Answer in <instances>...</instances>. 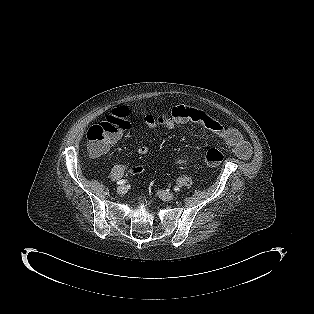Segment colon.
Segmentation results:
<instances>
[{"mask_svg":"<svg viewBox=\"0 0 314 314\" xmlns=\"http://www.w3.org/2000/svg\"><path fill=\"white\" fill-rule=\"evenodd\" d=\"M129 111L126 107L117 108L112 115L99 124H94L86 132L88 151L93 156L104 154L111 142L129 127ZM224 160L223 153L218 149H210L205 156L206 166L219 165Z\"/></svg>","mask_w":314,"mask_h":314,"instance_id":"5ec220e1","label":"colon"}]
</instances>
